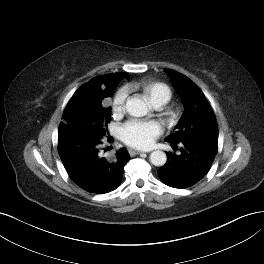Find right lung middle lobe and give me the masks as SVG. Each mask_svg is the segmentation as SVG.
Returning a JSON list of instances; mask_svg holds the SVG:
<instances>
[{"label": "right lung middle lobe", "mask_w": 264, "mask_h": 264, "mask_svg": "<svg viewBox=\"0 0 264 264\" xmlns=\"http://www.w3.org/2000/svg\"><path fill=\"white\" fill-rule=\"evenodd\" d=\"M114 88L106 91L92 104L74 108L64 119L58 130L59 140H68L76 136L103 138L108 135L111 107H104L102 100L112 94Z\"/></svg>", "instance_id": "dd1d6c3e"}]
</instances>
